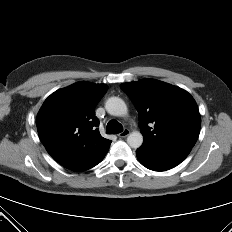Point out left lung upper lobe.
Listing matches in <instances>:
<instances>
[{"instance_id": "1", "label": "left lung upper lobe", "mask_w": 232, "mask_h": 232, "mask_svg": "<svg viewBox=\"0 0 232 232\" xmlns=\"http://www.w3.org/2000/svg\"><path fill=\"white\" fill-rule=\"evenodd\" d=\"M120 87L139 113L144 137L141 147L167 149L195 145L201 117L187 91L155 79L124 83Z\"/></svg>"}]
</instances>
